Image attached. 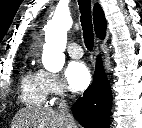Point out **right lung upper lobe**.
<instances>
[{
  "instance_id": "right-lung-upper-lobe-1",
  "label": "right lung upper lobe",
  "mask_w": 142,
  "mask_h": 128,
  "mask_svg": "<svg viewBox=\"0 0 142 128\" xmlns=\"http://www.w3.org/2000/svg\"><path fill=\"white\" fill-rule=\"evenodd\" d=\"M93 16H94V28L96 35L100 39H103L106 34V19L104 17L103 10L99 4H95L93 10Z\"/></svg>"
}]
</instances>
